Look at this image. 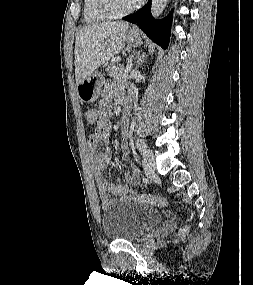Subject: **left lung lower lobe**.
<instances>
[{
  "label": "left lung lower lobe",
  "instance_id": "0a47b994",
  "mask_svg": "<svg viewBox=\"0 0 253 285\" xmlns=\"http://www.w3.org/2000/svg\"><path fill=\"white\" fill-rule=\"evenodd\" d=\"M150 9L151 0L139 11L125 16L123 19L137 24L152 41L166 49L169 44L172 14L162 20H155L151 16Z\"/></svg>",
  "mask_w": 253,
  "mask_h": 285
}]
</instances>
